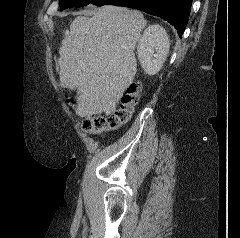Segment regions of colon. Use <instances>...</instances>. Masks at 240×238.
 I'll return each mask as SVG.
<instances>
[{
  "label": "colon",
  "instance_id": "obj_1",
  "mask_svg": "<svg viewBox=\"0 0 240 238\" xmlns=\"http://www.w3.org/2000/svg\"><path fill=\"white\" fill-rule=\"evenodd\" d=\"M141 90L142 87L140 82L132 83L127 88V91L122 97L120 105L114 114L86 118L83 121V128L89 133L98 134L115 130L121 125L127 123L139 102Z\"/></svg>",
  "mask_w": 240,
  "mask_h": 238
}]
</instances>
